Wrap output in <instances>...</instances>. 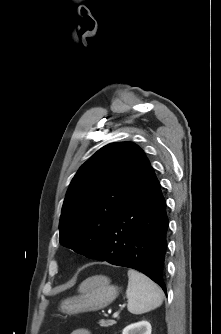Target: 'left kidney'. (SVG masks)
<instances>
[{"instance_id": "obj_1", "label": "left kidney", "mask_w": 221, "mask_h": 334, "mask_svg": "<svg viewBox=\"0 0 221 334\" xmlns=\"http://www.w3.org/2000/svg\"><path fill=\"white\" fill-rule=\"evenodd\" d=\"M151 329L148 321H140L125 327L122 334H151Z\"/></svg>"}]
</instances>
